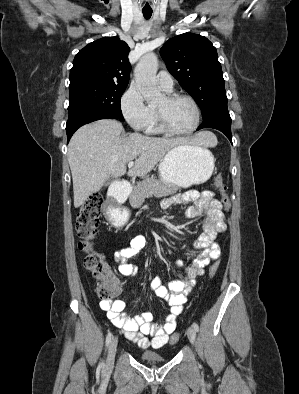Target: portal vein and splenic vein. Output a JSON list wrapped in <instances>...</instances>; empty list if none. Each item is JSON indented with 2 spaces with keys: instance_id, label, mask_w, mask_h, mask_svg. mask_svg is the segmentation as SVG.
Returning a JSON list of instances; mask_svg holds the SVG:
<instances>
[{
  "instance_id": "18ae733b",
  "label": "portal vein and splenic vein",
  "mask_w": 299,
  "mask_h": 394,
  "mask_svg": "<svg viewBox=\"0 0 299 394\" xmlns=\"http://www.w3.org/2000/svg\"><path fill=\"white\" fill-rule=\"evenodd\" d=\"M134 166V162L133 161H130L129 163H128V167L129 168H132Z\"/></svg>"
}]
</instances>
